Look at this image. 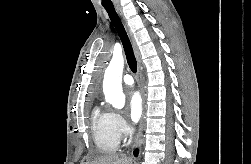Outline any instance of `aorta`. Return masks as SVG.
<instances>
[{
  "label": "aorta",
  "instance_id": "aorta-1",
  "mask_svg": "<svg viewBox=\"0 0 251 164\" xmlns=\"http://www.w3.org/2000/svg\"><path fill=\"white\" fill-rule=\"evenodd\" d=\"M123 68V56L114 55L105 71L103 81V92L106 101L118 109L123 108L125 104V96L122 90Z\"/></svg>",
  "mask_w": 251,
  "mask_h": 164
}]
</instances>
